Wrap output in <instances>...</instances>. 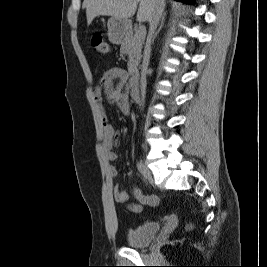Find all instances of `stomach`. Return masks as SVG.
Returning <instances> with one entry per match:
<instances>
[{
	"mask_svg": "<svg viewBox=\"0 0 267 267\" xmlns=\"http://www.w3.org/2000/svg\"><path fill=\"white\" fill-rule=\"evenodd\" d=\"M109 41L114 44L122 42L125 35L130 31L129 20L111 17L107 23Z\"/></svg>",
	"mask_w": 267,
	"mask_h": 267,
	"instance_id": "1",
	"label": "stomach"
}]
</instances>
